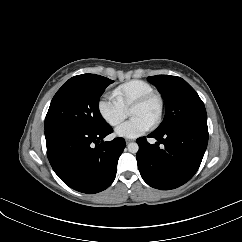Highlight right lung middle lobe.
Here are the masks:
<instances>
[{"label": "right lung middle lobe", "instance_id": "1", "mask_svg": "<svg viewBox=\"0 0 242 242\" xmlns=\"http://www.w3.org/2000/svg\"><path fill=\"white\" fill-rule=\"evenodd\" d=\"M114 81L95 74L69 79L53 97L45 118V129L59 125H79L102 130L109 124L99 112V98Z\"/></svg>", "mask_w": 242, "mask_h": 242}]
</instances>
